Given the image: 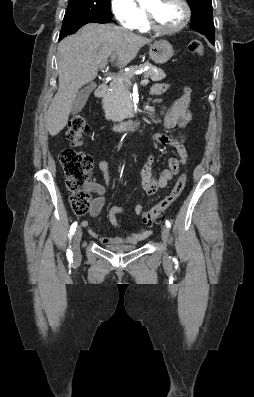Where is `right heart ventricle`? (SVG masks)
<instances>
[{
	"mask_svg": "<svg viewBox=\"0 0 254 397\" xmlns=\"http://www.w3.org/2000/svg\"><path fill=\"white\" fill-rule=\"evenodd\" d=\"M137 29L142 31V32H146V31L149 30V27H148L147 22H146L145 15H144V18L142 19V21L137 26Z\"/></svg>",
	"mask_w": 254,
	"mask_h": 397,
	"instance_id": "right-heart-ventricle-1",
	"label": "right heart ventricle"
}]
</instances>
